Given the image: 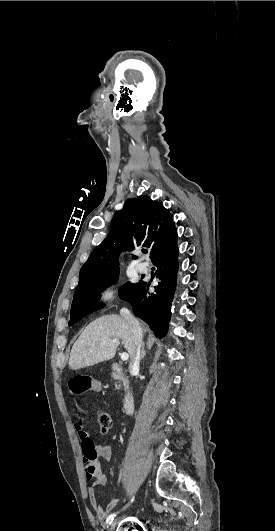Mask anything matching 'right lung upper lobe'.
<instances>
[{
    "instance_id": "cb5924a9",
    "label": "right lung upper lobe",
    "mask_w": 275,
    "mask_h": 531,
    "mask_svg": "<svg viewBox=\"0 0 275 531\" xmlns=\"http://www.w3.org/2000/svg\"><path fill=\"white\" fill-rule=\"evenodd\" d=\"M174 229L172 214L161 203L148 196L128 199L115 213L108 236L82 266L77 289L90 279L119 270L121 251L143 245L152 255Z\"/></svg>"
}]
</instances>
